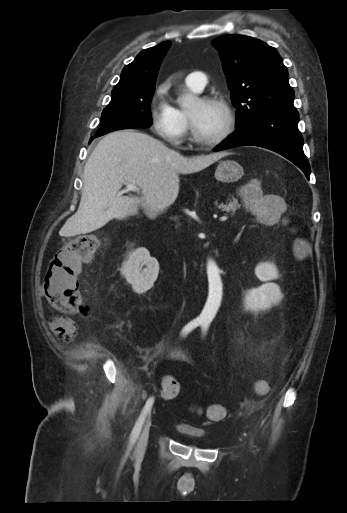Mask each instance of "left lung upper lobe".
Segmentation results:
<instances>
[{"mask_svg": "<svg viewBox=\"0 0 347 513\" xmlns=\"http://www.w3.org/2000/svg\"><path fill=\"white\" fill-rule=\"evenodd\" d=\"M212 44L219 50L237 109L236 128L265 113L296 111L288 71L275 48L237 34L219 36Z\"/></svg>", "mask_w": 347, "mask_h": 513, "instance_id": "obj_1", "label": "left lung upper lobe"}]
</instances>
